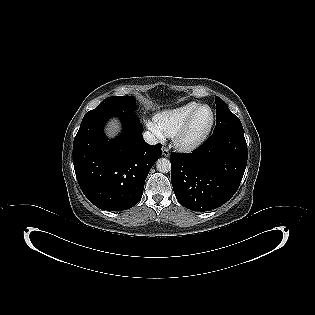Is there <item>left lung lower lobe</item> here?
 <instances>
[{
    "label": "left lung lower lobe",
    "mask_w": 315,
    "mask_h": 315,
    "mask_svg": "<svg viewBox=\"0 0 315 315\" xmlns=\"http://www.w3.org/2000/svg\"><path fill=\"white\" fill-rule=\"evenodd\" d=\"M244 132L213 134L192 153H171V181L178 202L206 211L226 203L237 191L247 164Z\"/></svg>",
    "instance_id": "0a47b994"
}]
</instances>
